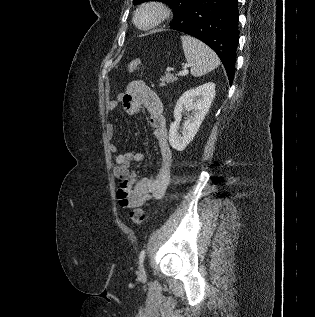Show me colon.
I'll return each mask as SVG.
<instances>
[{"label":"colon","instance_id":"1","mask_svg":"<svg viewBox=\"0 0 315 317\" xmlns=\"http://www.w3.org/2000/svg\"><path fill=\"white\" fill-rule=\"evenodd\" d=\"M141 66L142 61L140 59H133L129 62L127 69L129 72L133 73L138 71ZM130 218L134 224L140 225L145 219V213L143 209L137 207L130 212Z\"/></svg>","mask_w":315,"mask_h":317}]
</instances>
